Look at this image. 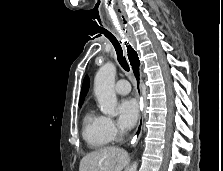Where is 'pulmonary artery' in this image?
I'll return each instance as SVG.
<instances>
[{
    "label": "pulmonary artery",
    "instance_id": "e3ab8cb5",
    "mask_svg": "<svg viewBox=\"0 0 223 171\" xmlns=\"http://www.w3.org/2000/svg\"><path fill=\"white\" fill-rule=\"evenodd\" d=\"M131 87L127 80L120 79L116 82L115 91L120 95H126L130 92Z\"/></svg>",
    "mask_w": 223,
    "mask_h": 171
}]
</instances>
